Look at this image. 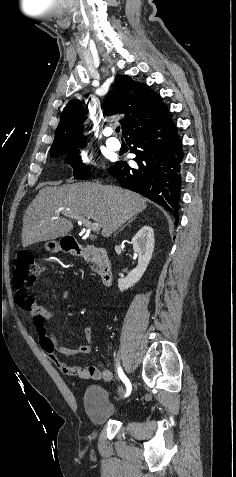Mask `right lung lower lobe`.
Instances as JSON below:
<instances>
[{
  "instance_id": "right-lung-lower-lobe-1",
  "label": "right lung lower lobe",
  "mask_w": 236,
  "mask_h": 477,
  "mask_svg": "<svg viewBox=\"0 0 236 477\" xmlns=\"http://www.w3.org/2000/svg\"><path fill=\"white\" fill-rule=\"evenodd\" d=\"M126 142L138 167L119 161L108 169L121 187L135 191L165 207L178 222L182 143L170 115L146 129L131 133Z\"/></svg>"
}]
</instances>
